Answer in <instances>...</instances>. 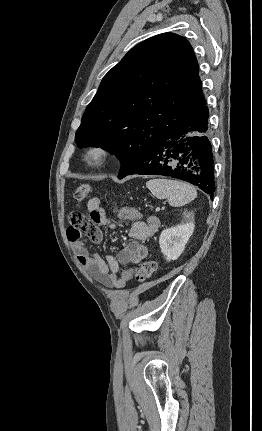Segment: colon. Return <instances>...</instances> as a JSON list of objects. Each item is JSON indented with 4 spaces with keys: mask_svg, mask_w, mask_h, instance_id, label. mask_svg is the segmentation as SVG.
Wrapping results in <instances>:
<instances>
[{
    "mask_svg": "<svg viewBox=\"0 0 262 431\" xmlns=\"http://www.w3.org/2000/svg\"><path fill=\"white\" fill-rule=\"evenodd\" d=\"M92 192V188L88 183H82L78 185L74 191V198L78 203H83L86 201ZM111 211L116 212L118 208L113 206ZM80 219L79 213H71L69 216V221L71 224H77ZM157 270V264L153 260H146L137 265L135 270V279L139 282H143L151 278Z\"/></svg>",
    "mask_w": 262,
    "mask_h": 431,
    "instance_id": "colon-1",
    "label": "colon"
}]
</instances>
